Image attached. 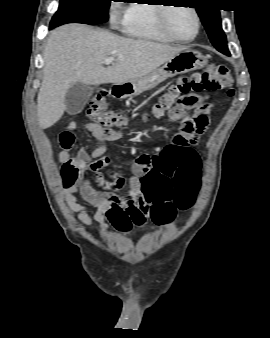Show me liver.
<instances>
[{
	"instance_id": "liver-1",
	"label": "liver",
	"mask_w": 270,
	"mask_h": 338,
	"mask_svg": "<svg viewBox=\"0 0 270 338\" xmlns=\"http://www.w3.org/2000/svg\"><path fill=\"white\" fill-rule=\"evenodd\" d=\"M186 49L128 39L83 24L56 28L44 49L43 80L37 98L40 127L49 128L63 116L65 95L73 84H124L154 71ZM109 57L115 62L104 67Z\"/></svg>"
}]
</instances>
